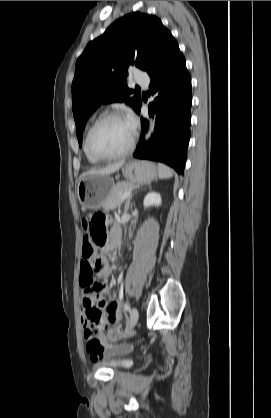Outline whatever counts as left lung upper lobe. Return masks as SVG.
Segmentation results:
<instances>
[{
    "instance_id": "obj_1",
    "label": "left lung upper lobe",
    "mask_w": 271,
    "mask_h": 418,
    "mask_svg": "<svg viewBox=\"0 0 271 418\" xmlns=\"http://www.w3.org/2000/svg\"><path fill=\"white\" fill-rule=\"evenodd\" d=\"M172 37L154 15L132 12L91 41L78 58L72 83L73 114L79 146L89 116L102 103L124 101L136 111L138 94L125 85L130 66L149 72Z\"/></svg>"
}]
</instances>
